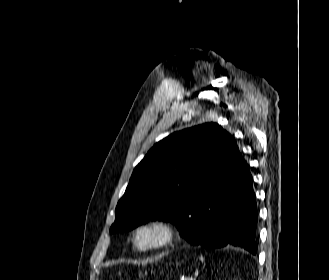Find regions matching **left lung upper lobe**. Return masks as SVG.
<instances>
[{
    "label": "left lung upper lobe",
    "instance_id": "1",
    "mask_svg": "<svg viewBox=\"0 0 329 280\" xmlns=\"http://www.w3.org/2000/svg\"><path fill=\"white\" fill-rule=\"evenodd\" d=\"M238 152L234 138L216 123L161 140L134 169L110 233L131 230L148 219L171 221L178 229L186 221L194 223L206 197L227 185Z\"/></svg>",
    "mask_w": 329,
    "mask_h": 280
}]
</instances>
